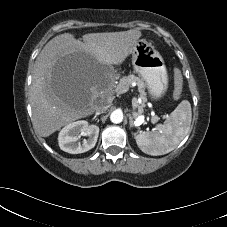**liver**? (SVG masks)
Listing matches in <instances>:
<instances>
[{"mask_svg": "<svg viewBox=\"0 0 227 227\" xmlns=\"http://www.w3.org/2000/svg\"><path fill=\"white\" fill-rule=\"evenodd\" d=\"M142 33L137 30L121 32L89 33L83 42L71 33L57 35L51 39L36 58L31 86L33 126L42 137H48L68 123L92 114L96 97L108 94L109 89L97 77L86 85L83 94L72 101L57 98L50 87L54 65L61 58L81 52L88 55L95 66L118 65L132 52Z\"/></svg>", "mask_w": 227, "mask_h": 227, "instance_id": "liver-1", "label": "liver"}]
</instances>
